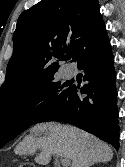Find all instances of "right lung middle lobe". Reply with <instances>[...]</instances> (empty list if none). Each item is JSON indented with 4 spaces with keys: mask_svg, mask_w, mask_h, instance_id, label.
Returning a JSON list of instances; mask_svg holds the SVG:
<instances>
[{
    "mask_svg": "<svg viewBox=\"0 0 125 167\" xmlns=\"http://www.w3.org/2000/svg\"><path fill=\"white\" fill-rule=\"evenodd\" d=\"M68 85L54 77L20 95L0 100V147L28 129L52 104L68 95Z\"/></svg>",
    "mask_w": 125,
    "mask_h": 167,
    "instance_id": "obj_1",
    "label": "right lung middle lobe"
}]
</instances>
